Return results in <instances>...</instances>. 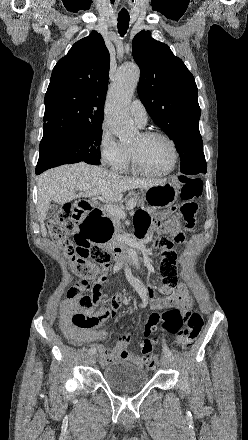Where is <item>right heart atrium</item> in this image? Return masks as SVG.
Instances as JSON below:
<instances>
[{"label": "right heart atrium", "mask_w": 248, "mask_h": 440, "mask_svg": "<svg viewBox=\"0 0 248 440\" xmlns=\"http://www.w3.org/2000/svg\"><path fill=\"white\" fill-rule=\"evenodd\" d=\"M99 153L102 162L114 171L120 170L127 160V149L117 141L106 124L101 127Z\"/></svg>", "instance_id": "right-heart-atrium-1"}]
</instances>
